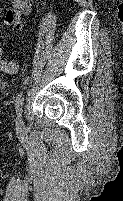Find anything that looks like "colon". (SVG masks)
I'll return each instance as SVG.
<instances>
[{
  "instance_id": "5ec220e1",
  "label": "colon",
  "mask_w": 123,
  "mask_h": 201,
  "mask_svg": "<svg viewBox=\"0 0 123 201\" xmlns=\"http://www.w3.org/2000/svg\"><path fill=\"white\" fill-rule=\"evenodd\" d=\"M0 71L8 74H14L17 71L15 62L6 60L2 53H0Z\"/></svg>"
}]
</instances>
